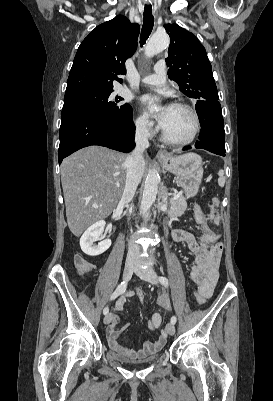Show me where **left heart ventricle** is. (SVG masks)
Wrapping results in <instances>:
<instances>
[{
    "instance_id": "obj_1",
    "label": "left heart ventricle",
    "mask_w": 273,
    "mask_h": 401,
    "mask_svg": "<svg viewBox=\"0 0 273 401\" xmlns=\"http://www.w3.org/2000/svg\"><path fill=\"white\" fill-rule=\"evenodd\" d=\"M162 128L172 138L187 139L194 132L195 125L187 112L172 107Z\"/></svg>"
}]
</instances>
